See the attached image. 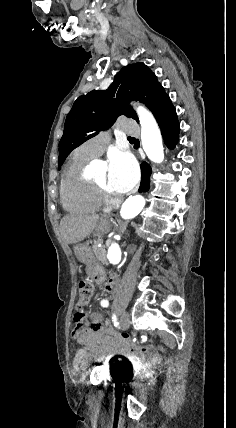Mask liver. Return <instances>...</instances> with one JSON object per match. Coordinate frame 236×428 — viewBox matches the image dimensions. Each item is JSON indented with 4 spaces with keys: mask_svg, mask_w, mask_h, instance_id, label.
I'll use <instances>...</instances> for the list:
<instances>
[{
    "mask_svg": "<svg viewBox=\"0 0 236 428\" xmlns=\"http://www.w3.org/2000/svg\"><path fill=\"white\" fill-rule=\"evenodd\" d=\"M97 226H100L99 216L69 214V216H64L60 222V234L66 244H77L90 236Z\"/></svg>",
    "mask_w": 236,
    "mask_h": 428,
    "instance_id": "liver-1",
    "label": "liver"
}]
</instances>
